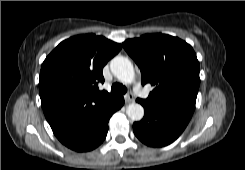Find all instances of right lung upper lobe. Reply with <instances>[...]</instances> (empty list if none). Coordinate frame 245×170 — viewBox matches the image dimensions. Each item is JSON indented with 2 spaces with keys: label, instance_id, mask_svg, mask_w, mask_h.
<instances>
[{
  "label": "right lung upper lobe",
  "instance_id": "1",
  "mask_svg": "<svg viewBox=\"0 0 245 170\" xmlns=\"http://www.w3.org/2000/svg\"><path fill=\"white\" fill-rule=\"evenodd\" d=\"M121 45L103 36L78 35L61 42L44 60L39 93L45 117L63 144L76 137L117 96L99 91L102 70Z\"/></svg>",
  "mask_w": 245,
  "mask_h": 170
}]
</instances>
